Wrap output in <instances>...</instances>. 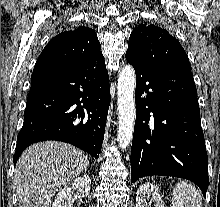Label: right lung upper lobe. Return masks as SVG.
Instances as JSON below:
<instances>
[{
    "label": "right lung upper lobe",
    "mask_w": 220,
    "mask_h": 207,
    "mask_svg": "<svg viewBox=\"0 0 220 207\" xmlns=\"http://www.w3.org/2000/svg\"><path fill=\"white\" fill-rule=\"evenodd\" d=\"M94 30L81 26L61 32L45 46L35 68L74 67L102 54ZM34 68V69H35Z\"/></svg>",
    "instance_id": "cb5924a9"
}]
</instances>
